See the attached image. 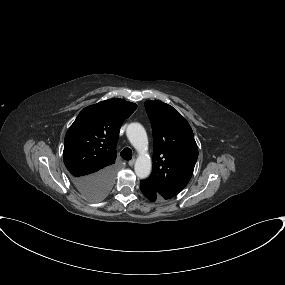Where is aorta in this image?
Wrapping results in <instances>:
<instances>
[{
	"label": "aorta",
	"mask_w": 285,
	"mask_h": 285,
	"mask_svg": "<svg viewBox=\"0 0 285 285\" xmlns=\"http://www.w3.org/2000/svg\"><path fill=\"white\" fill-rule=\"evenodd\" d=\"M127 137L139 156L135 162L134 170L138 178L145 179L151 173V159L147 154L148 137L140 123H131L126 130Z\"/></svg>",
	"instance_id": "762f6f07"
}]
</instances>
